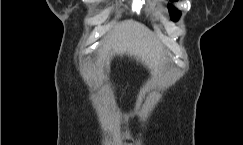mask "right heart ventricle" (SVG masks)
Instances as JSON below:
<instances>
[{
  "mask_svg": "<svg viewBox=\"0 0 243 145\" xmlns=\"http://www.w3.org/2000/svg\"><path fill=\"white\" fill-rule=\"evenodd\" d=\"M147 9H148L149 11H151V12L156 13V10H155L153 7L149 6V5H147Z\"/></svg>",
  "mask_w": 243,
  "mask_h": 145,
  "instance_id": "right-heart-ventricle-1",
  "label": "right heart ventricle"
}]
</instances>
